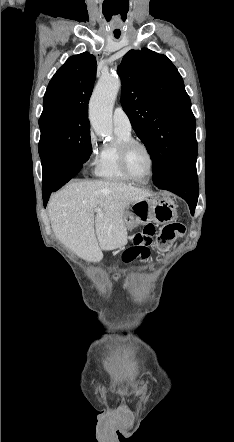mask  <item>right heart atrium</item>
I'll list each match as a JSON object with an SVG mask.
<instances>
[{"instance_id":"1","label":"right heart atrium","mask_w":234,"mask_h":442,"mask_svg":"<svg viewBox=\"0 0 234 442\" xmlns=\"http://www.w3.org/2000/svg\"><path fill=\"white\" fill-rule=\"evenodd\" d=\"M88 145L90 151L91 164L95 165L99 155V148L97 145V138L93 132H90L89 134Z\"/></svg>"}]
</instances>
